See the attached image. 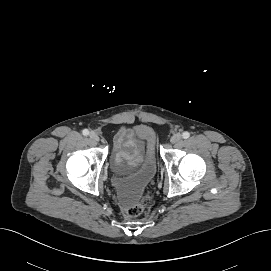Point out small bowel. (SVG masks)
Instances as JSON below:
<instances>
[{"label": "small bowel", "instance_id": "small-bowel-1", "mask_svg": "<svg viewBox=\"0 0 271 271\" xmlns=\"http://www.w3.org/2000/svg\"><path fill=\"white\" fill-rule=\"evenodd\" d=\"M144 143L135 133L122 128L114 138L113 162L118 170L139 165L143 160Z\"/></svg>", "mask_w": 271, "mask_h": 271}]
</instances>
